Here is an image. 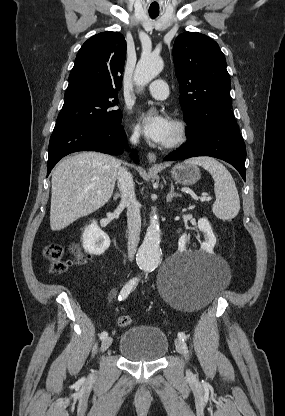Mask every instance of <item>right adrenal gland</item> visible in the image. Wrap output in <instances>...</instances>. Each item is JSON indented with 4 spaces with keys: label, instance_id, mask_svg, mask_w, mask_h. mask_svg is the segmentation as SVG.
<instances>
[{
    "label": "right adrenal gland",
    "instance_id": "right-adrenal-gland-1",
    "mask_svg": "<svg viewBox=\"0 0 285 416\" xmlns=\"http://www.w3.org/2000/svg\"><path fill=\"white\" fill-rule=\"evenodd\" d=\"M118 198H120V194H115V196H113V200H118Z\"/></svg>",
    "mask_w": 285,
    "mask_h": 416
}]
</instances>
